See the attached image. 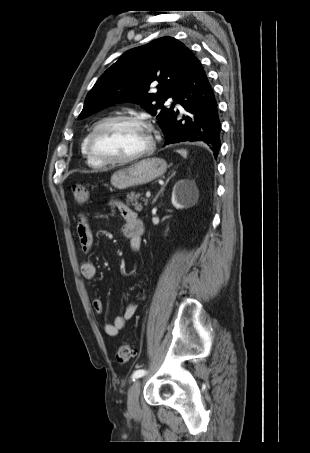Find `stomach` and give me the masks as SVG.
I'll return each instance as SVG.
<instances>
[{"mask_svg":"<svg viewBox=\"0 0 310 453\" xmlns=\"http://www.w3.org/2000/svg\"><path fill=\"white\" fill-rule=\"evenodd\" d=\"M166 170L167 163L162 158L143 159L114 172L111 176V184L119 190L144 185L162 176Z\"/></svg>","mask_w":310,"mask_h":453,"instance_id":"stomach-1","label":"stomach"}]
</instances>
